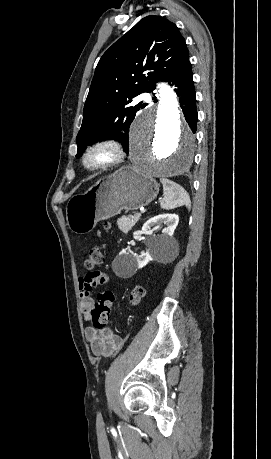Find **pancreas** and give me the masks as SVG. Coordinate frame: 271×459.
<instances>
[{
    "instance_id": "obj_1",
    "label": "pancreas",
    "mask_w": 271,
    "mask_h": 459,
    "mask_svg": "<svg viewBox=\"0 0 271 459\" xmlns=\"http://www.w3.org/2000/svg\"><path fill=\"white\" fill-rule=\"evenodd\" d=\"M138 220L140 218L136 216H122V218H119L117 226L123 233H128L129 229L133 228Z\"/></svg>"
}]
</instances>
